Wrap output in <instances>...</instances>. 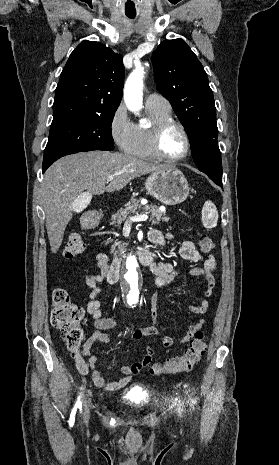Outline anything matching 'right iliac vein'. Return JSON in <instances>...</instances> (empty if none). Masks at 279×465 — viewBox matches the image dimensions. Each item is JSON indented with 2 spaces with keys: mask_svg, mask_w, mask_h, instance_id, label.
Returning a JSON list of instances; mask_svg holds the SVG:
<instances>
[{
  "mask_svg": "<svg viewBox=\"0 0 279 465\" xmlns=\"http://www.w3.org/2000/svg\"><path fill=\"white\" fill-rule=\"evenodd\" d=\"M84 419H85V421H88V419H89V410L87 408L85 410Z\"/></svg>",
  "mask_w": 279,
  "mask_h": 465,
  "instance_id": "obj_1",
  "label": "right iliac vein"
}]
</instances>
